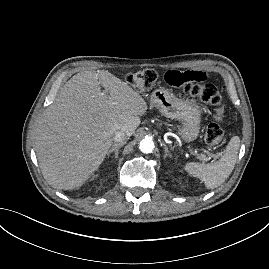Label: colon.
<instances>
[{
    "label": "colon",
    "instance_id": "colon-1",
    "mask_svg": "<svg viewBox=\"0 0 269 269\" xmlns=\"http://www.w3.org/2000/svg\"><path fill=\"white\" fill-rule=\"evenodd\" d=\"M157 79L158 73L153 69H145L129 74L126 78L128 84L139 92L151 89ZM172 85L177 86L175 83ZM181 87L187 95L197 96L200 102L209 103L215 107L213 121L207 126L205 131V141L212 146L221 145L226 134V129L220 124L225 118V109L218 86L213 81L212 84L205 86L200 83L188 81Z\"/></svg>",
    "mask_w": 269,
    "mask_h": 269
}]
</instances>
